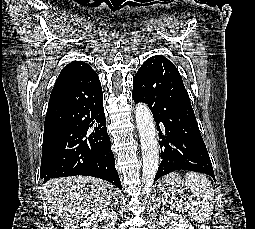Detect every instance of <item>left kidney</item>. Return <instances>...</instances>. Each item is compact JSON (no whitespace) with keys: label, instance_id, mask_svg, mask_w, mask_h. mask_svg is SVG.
Listing matches in <instances>:
<instances>
[{"label":"left kidney","instance_id":"obj_1","mask_svg":"<svg viewBox=\"0 0 255 229\" xmlns=\"http://www.w3.org/2000/svg\"><path fill=\"white\" fill-rule=\"evenodd\" d=\"M159 224L165 227L166 224H170L173 229H194L191 223L182 215L175 214L171 211L162 210L159 215Z\"/></svg>","mask_w":255,"mask_h":229}]
</instances>
